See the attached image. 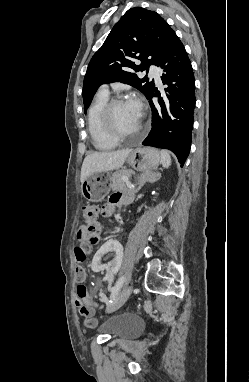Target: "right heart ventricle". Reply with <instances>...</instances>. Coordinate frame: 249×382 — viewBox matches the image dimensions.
Returning <instances> with one entry per match:
<instances>
[{
  "label": "right heart ventricle",
  "mask_w": 249,
  "mask_h": 382,
  "mask_svg": "<svg viewBox=\"0 0 249 382\" xmlns=\"http://www.w3.org/2000/svg\"><path fill=\"white\" fill-rule=\"evenodd\" d=\"M108 100V93L99 92L88 111L89 133L94 147L98 150H111L118 143L106 135L101 123V112Z\"/></svg>",
  "instance_id": "obj_1"
}]
</instances>
